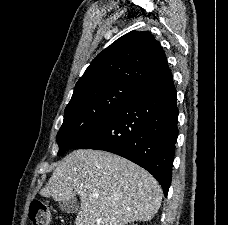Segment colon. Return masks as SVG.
Returning <instances> with one entry per match:
<instances>
[{
    "mask_svg": "<svg viewBox=\"0 0 228 225\" xmlns=\"http://www.w3.org/2000/svg\"><path fill=\"white\" fill-rule=\"evenodd\" d=\"M32 225H52V215L48 206L40 200L32 201L29 208Z\"/></svg>",
    "mask_w": 228,
    "mask_h": 225,
    "instance_id": "colon-1",
    "label": "colon"
}]
</instances>
